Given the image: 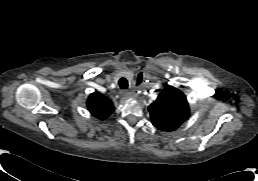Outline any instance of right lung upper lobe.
Wrapping results in <instances>:
<instances>
[{
    "instance_id": "right-lung-upper-lobe-1",
    "label": "right lung upper lobe",
    "mask_w": 258,
    "mask_h": 181,
    "mask_svg": "<svg viewBox=\"0 0 258 181\" xmlns=\"http://www.w3.org/2000/svg\"><path fill=\"white\" fill-rule=\"evenodd\" d=\"M89 111L98 119L108 117L114 110L111 100L98 92L92 93L87 100Z\"/></svg>"
}]
</instances>
